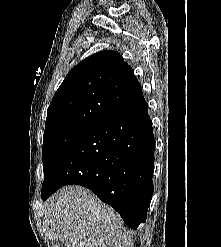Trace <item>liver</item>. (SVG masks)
<instances>
[{
	"label": "liver",
	"instance_id": "obj_1",
	"mask_svg": "<svg viewBox=\"0 0 221 247\" xmlns=\"http://www.w3.org/2000/svg\"><path fill=\"white\" fill-rule=\"evenodd\" d=\"M44 215L66 247H133L119 215L81 186H66L51 196Z\"/></svg>",
	"mask_w": 221,
	"mask_h": 247
}]
</instances>
